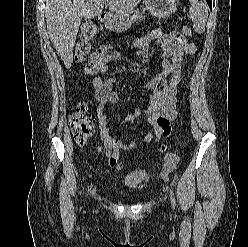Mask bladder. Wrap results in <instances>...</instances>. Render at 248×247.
Returning a JSON list of instances; mask_svg holds the SVG:
<instances>
[{
    "instance_id": "31cf9c89",
    "label": "bladder",
    "mask_w": 248,
    "mask_h": 247,
    "mask_svg": "<svg viewBox=\"0 0 248 247\" xmlns=\"http://www.w3.org/2000/svg\"><path fill=\"white\" fill-rule=\"evenodd\" d=\"M150 176L143 170L135 171L125 178L124 183L133 188H138L149 182Z\"/></svg>"
}]
</instances>
